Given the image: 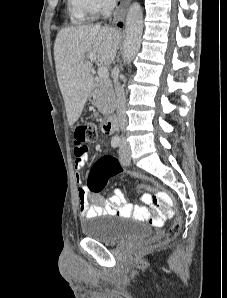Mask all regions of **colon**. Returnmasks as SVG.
Wrapping results in <instances>:
<instances>
[{
    "label": "colon",
    "mask_w": 227,
    "mask_h": 298,
    "mask_svg": "<svg viewBox=\"0 0 227 298\" xmlns=\"http://www.w3.org/2000/svg\"><path fill=\"white\" fill-rule=\"evenodd\" d=\"M98 137V130L94 123H85L77 126L74 130V143L75 142H95ZM121 172L120 165L111 157L105 156L97 160L92 166L88 177V188L91 192H101L108 180ZM143 190H150L153 194V208L155 216L151 218V221L155 225H161L164 218L172 217L174 211L171 209L170 196L160 191V186L152 181L147 180L141 185ZM181 229V219L176 217L169 226L165 241L174 240Z\"/></svg>",
    "instance_id": "1"
}]
</instances>
